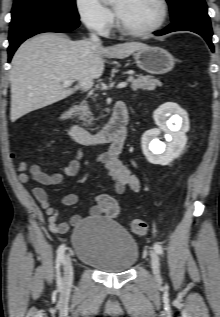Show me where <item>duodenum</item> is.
Returning <instances> with one entry per match:
<instances>
[{
    "label": "duodenum",
    "mask_w": 220,
    "mask_h": 317,
    "mask_svg": "<svg viewBox=\"0 0 220 317\" xmlns=\"http://www.w3.org/2000/svg\"><path fill=\"white\" fill-rule=\"evenodd\" d=\"M63 130L74 140L85 146H99L109 143L112 146L123 147L127 131V108L123 102H117L109 123L98 132H91L85 127L71 122L70 109L64 110L60 115Z\"/></svg>",
    "instance_id": "duodenum-1"
}]
</instances>
